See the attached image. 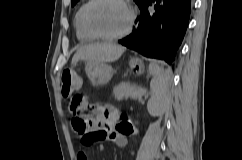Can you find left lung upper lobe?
Returning a JSON list of instances; mask_svg holds the SVG:
<instances>
[{
	"label": "left lung upper lobe",
	"mask_w": 242,
	"mask_h": 160,
	"mask_svg": "<svg viewBox=\"0 0 242 160\" xmlns=\"http://www.w3.org/2000/svg\"><path fill=\"white\" fill-rule=\"evenodd\" d=\"M79 0H71V5L74 6ZM139 8L142 6L145 0H134Z\"/></svg>",
	"instance_id": "obj_1"
}]
</instances>
